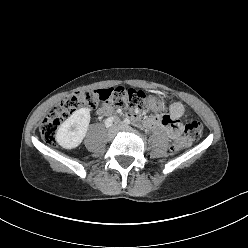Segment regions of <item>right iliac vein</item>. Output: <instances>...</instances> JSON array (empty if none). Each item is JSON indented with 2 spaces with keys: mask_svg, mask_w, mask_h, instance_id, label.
I'll return each mask as SVG.
<instances>
[{
  "mask_svg": "<svg viewBox=\"0 0 248 248\" xmlns=\"http://www.w3.org/2000/svg\"><path fill=\"white\" fill-rule=\"evenodd\" d=\"M116 132H117V127L116 126L111 127L108 131V134H107L108 139L109 140L113 139Z\"/></svg>",
  "mask_w": 248,
  "mask_h": 248,
  "instance_id": "63e3f726",
  "label": "right iliac vein"
}]
</instances>
